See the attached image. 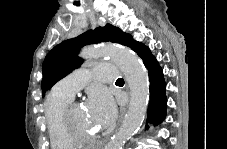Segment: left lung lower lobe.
Segmentation results:
<instances>
[{
  "instance_id": "obj_1",
  "label": "left lung lower lobe",
  "mask_w": 227,
  "mask_h": 149,
  "mask_svg": "<svg viewBox=\"0 0 227 149\" xmlns=\"http://www.w3.org/2000/svg\"><path fill=\"white\" fill-rule=\"evenodd\" d=\"M142 58L145 67L148 69L150 81V102L147 112V122H162L166 117V83L163 72L156 58L151 54L149 48L144 44L129 38L127 45Z\"/></svg>"
}]
</instances>
